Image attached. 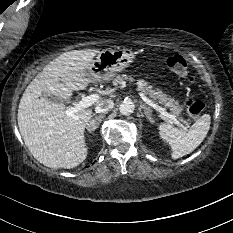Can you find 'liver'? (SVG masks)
Masks as SVG:
<instances>
[{
    "instance_id": "obj_1",
    "label": "liver",
    "mask_w": 233,
    "mask_h": 233,
    "mask_svg": "<svg viewBox=\"0 0 233 233\" xmlns=\"http://www.w3.org/2000/svg\"><path fill=\"white\" fill-rule=\"evenodd\" d=\"M99 50H74L49 62L25 89L18 108V126L25 145L41 164L50 168L71 169L87 157L85 128L92 117L90 108L66 115L65 105L44 98L59 97L62 101L73 90L85 89L94 81L87 68ZM99 99L96 103H100Z\"/></svg>"
}]
</instances>
